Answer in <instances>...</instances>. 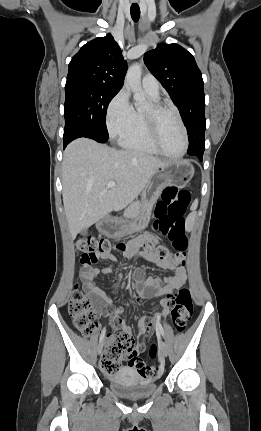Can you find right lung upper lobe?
Returning <instances> with one entry per match:
<instances>
[{"instance_id": "right-lung-upper-lobe-1", "label": "right lung upper lobe", "mask_w": 261, "mask_h": 431, "mask_svg": "<svg viewBox=\"0 0 261 431\" xmlns=\"http://www.w3.org/2000/svg\"><path fill=\"white\" fill-rule=\"evenodd\" d=\"M126 71L127 62L118 44L107 34L81 47L69 63L67 81L87 80L120 90Z\"/></svg>"}]
</instances>
